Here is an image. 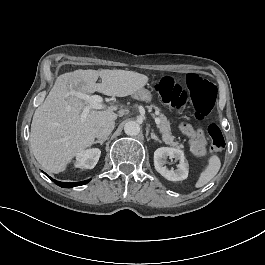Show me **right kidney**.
<instances>
[{
	"instance_id": "1",
	"label": "right kidney",
	"mask_w": 265,
	"mask_h": 265,
	"mask_svg": "<svg viewBox=\"0 0 265 265\" xmlns=\"http://www.w3.org/2000/svg\"><path fill=\"white\" fill-rule=\"evenodd\" d=\"M100 155L101 151L98 148L81 150L76 154V162L74 163V166L81 169H93L97 164Z\"/></svg>"
}]
</instances>
